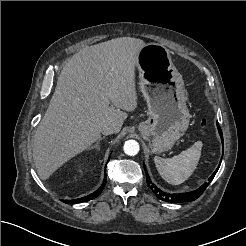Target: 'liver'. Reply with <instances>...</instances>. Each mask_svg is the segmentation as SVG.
Returning a JSON list of instances; mask_svg holds the SVG:
<instances>
[{
    "mask_svg": "<svg viewBox=\"0 0 246 246\" xmlns=\"http://www.w3.org/2000/svg\"><path fill=\"white\" fill-rule=\"evenodd\" d=\"M145 44L115 38L81 49L63 67L33 140L42 180L96 142L104 124L121 130L127 112L137 107L135 67Z\"/></svg>",
    "mask_w": 246,
    "mask_h": 246,
    "instance_id": "liver-1",
    "label": "liver"
}]
</instances>
